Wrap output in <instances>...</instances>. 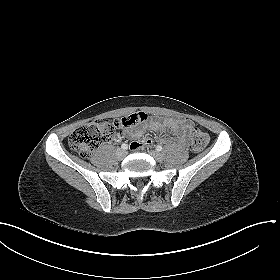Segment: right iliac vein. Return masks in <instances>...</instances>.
<instances>
[{"label":"right iliac vein","instance_id":"obj_1","mask_svg":"<svg viewBox=\"0 0 280 280\" xmlns=\"http://www.w3.org/2000/svg\"><path fill=\"white\" fill-rule=\"evenodd\" d=\"M127 152L125 150H118L116 156L119 160H122L126 157Z\"/></svg>","mask_w":280,"mask_h":280}]
</instances>
